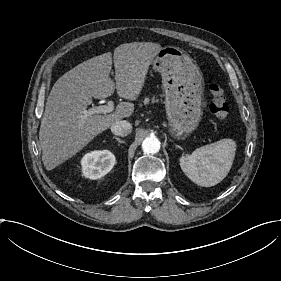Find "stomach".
Returning a JSON list of instances; mask_svg holds the SVG:
<instances>
[{
	"label": "stomach",
	"mask_w": 281,
	"mask_h": 281,
	"mask_svg": "<svg viewBox=\"0 0 281 281\" xmlns=\"http://www.w3.org/2000/svg\"><path fill=\"white\" fill-rule=\"evenodd\" d=\"M152 64L162 76L169 132L177 139H185L202 118V72L188 54L174 46L162 48Z\"/></svg>",
	"instance_id": "1"
}]
</instances>
